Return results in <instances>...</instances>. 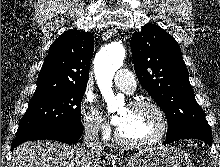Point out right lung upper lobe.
<instances>
[{
	"mask_svg": "<svg viewBox=\"0 0 220 167\" xmlns=\"http://www.w3.org/2000/svg\"><path fill=\"white\" fill-rule=\"evenodd\" d=\"M93 50L94 37L91 32L65 31L49 48L33 98L68 87H86Z\"/></svg>",
	"mask_w": 220,
	"mask_h": 167,
	"instance_id": "cb5924a9",
	"label": "right lung upper lobe"
}]
</instances>
